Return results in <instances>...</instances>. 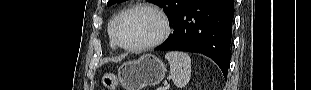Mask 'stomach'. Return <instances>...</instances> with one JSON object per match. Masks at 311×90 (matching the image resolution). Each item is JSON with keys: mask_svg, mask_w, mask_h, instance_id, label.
<instances>
[{"mask_svg": "<svg viewBox=\"0 0 311 90\" xmlns=\"http://www.w3.org/2000/svg\"><path fill=\"white\" fill-rule=\"evenodd\" d=\"M166 66L159 58L146 54L138 60L128 61L122 64L117 75L104 73L101 84L107 90H114L119 84L125 90H142L146 86L159 84L165 76Z\"/></svg>", "mask_w": 311, "mask_h": 90, "instance_id": "0dacf381", "label": "stomach"}]
</instances>
